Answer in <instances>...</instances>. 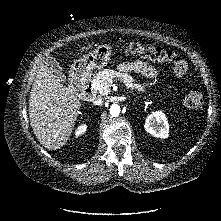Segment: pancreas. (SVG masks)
Instances as JSON below:
<instances>
[{"label": "pancreas", "instance_id": "cf45deb5", "mask_svg": "<svg viewBox=\"0 0 221 221\" xmlns=\"http://www.w3.org/2000/svg\"><path fill=\"white\" fill-rule=\"evenodd\" d=\"M117 78L122 83L125 84L128 90H136L138 93L145 92L142 85L134 83V79L128 74H123L111 69H104L98 72L93 79V84L95 90H97L101 95H106L110 92V80Z\"/></svg>", "mask_w": 221, "mask_h": 221}]
</instances>
